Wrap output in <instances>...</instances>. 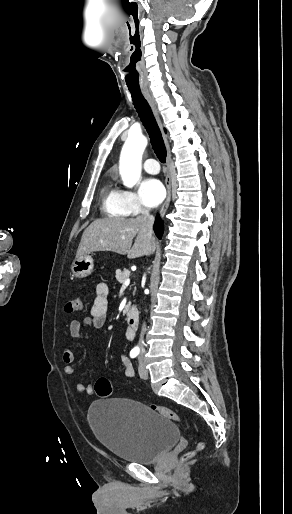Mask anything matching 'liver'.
Wrapping results in <instances>:
<instances>
[{
    "label": "liver",
    "instance_id": "1",
    "mask_svg": "<svg viewBox=\"0 0 292 514\" xmlns=\"http://www.w3.org/2000/svg\"><path fill=\"white\" fill-rule=\"evenodd\" d=\"M134 246L132 240L135 238ZM132 246V248H131ZM155 248V238H148L142 216L138 218H101L86 228L76 256L90 252H116L127 258L148 256Z\"/></svg>",
    "mask_w": 292,
    "mask_h": 514
}]
</instances>
